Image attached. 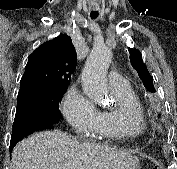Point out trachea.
<instances>
[{"instance_id":"obj_1","label":"trachea","mask_w":177,"mask_h":169,"mask_svg":"<svg viewBox=\"0 0 177 169\" xmlns=\"http://www.w3.org/2000/svg\"><path fill=\"white\" fill-rule=\"evenodd\" d=\"M90 16H91V19L97 18V16H98V11H91Z\"/></svg>"}]
</instances>
